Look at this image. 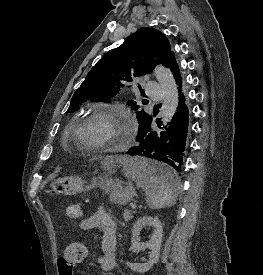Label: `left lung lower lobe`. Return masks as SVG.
Wrapping results in <instances>:
<instances>
[{"label":"left lung lower lobe","instance_id":"0a47b994","mask_svg":"<svg viewBox=\"0 0 263 275\" xmlns=\"http://www.w3.org/2000/svg\"><path fill=\"white\" fill-rule=\"evenodd\" d=\"M178 85L182 80L175 57L168 67ZM179 106L173 116V120L168 123L167 128L161 127V120L156 123L161 132L151 130L152 118L150 117L141 127L136 137V144L126 151L127 155L143 157L159 162L152 164L151 173L154 177L165 182L172 183L176 180L184 164V150L189 126V110L185 104V98L179 90Z\"/></svg>","mask_w":263,"mask_h":275}]
</instances>
